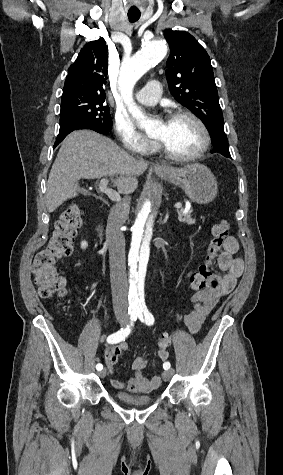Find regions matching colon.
<instances>
[{"label": "colon", "mask_w": 283, "mask_h": 475, "mask_svg": "<svg viewBox=\"0 0 283 475\" xmlns=\"http://www.w3.org/2000/svg\"><path fill=\"white\" fill-rule=\"evenodd\" d=\"M82 215L77 205L72 204L61 213L53 235L46 247L39 250L33 259V278L40 296L48 301L66 294L65 279L56 273L55 263L72 252V239L81 225ZM227 220L219 219L212 227V240L202 264L191 276L192 292L204 289L213 278V262L227 238ZM171 334L165 333L158 340L159 363H165L169 355Z\"/></svg>", "instance_id": "5ec220e1"}]
</instances>
